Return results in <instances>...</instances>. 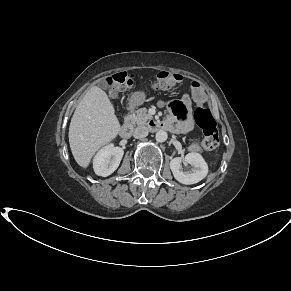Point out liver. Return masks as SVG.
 Returning <instances> with one entry per match:
<instances>
[{"instance_id": "obj_1", "label": "liver", "mask_w": 291, "mask_h": 291, "mask_svg": "<svg viewBox=\"0 0 291 291\" xmlns=\"http://www.w3.org/2000/svg\"><path fill=\"white\" fill-rule=\"evenodd\" d=\"M120 123L107 94L93 86L83 97L69 126V144L79 166L87 168L93 155L116 138Z\"/></svg>"}]
</instances>
